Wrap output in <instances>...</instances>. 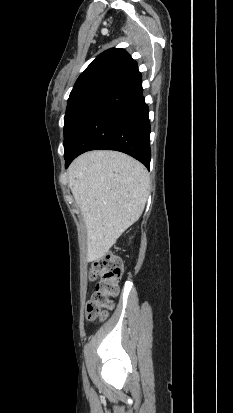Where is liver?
Returning <instances> with one entry per match:
<instances>
[{
    "label": "liver",
    "mask_w": 233,
    "mask_h": 413,
    "mask_svg": "<svg viewBox=\"0 0 233 413\" xmlns=\"http://www.w3.org/2000/svg\"><path fill=\"white\" fill-rule=\"evenodd\" d=\"M69 186L87 231V260H100L141 216L150 178L143 164L116 151H91L68 169Z\"/></svg>",
    "instance_id": "obj_1"
}]
</instances>
